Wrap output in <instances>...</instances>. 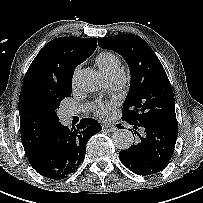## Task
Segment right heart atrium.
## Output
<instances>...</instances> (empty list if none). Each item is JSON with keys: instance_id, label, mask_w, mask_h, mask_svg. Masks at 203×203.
<instances>
[{"instance_id": "d8ad5b80", "label": "right heart atrium", "mask_w": 203, "mask_h": 203, "mask_svg": "<svg viewBox=\"0 0 203 203\" xmlns=\"http://www.w3.org/2000/svg\"><path fill=\"white\" fill-rule=\"evenodd\" d=\"M78 72H79V67H76L74 70V73H73V77H72V83L73 84L75 83Z\"/></svg>"}]
</instances>
